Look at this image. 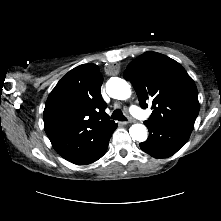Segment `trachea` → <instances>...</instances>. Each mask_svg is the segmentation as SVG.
I'll list each match as a JSON object with an SVG mask.
<instances>
[{
    "instance_id": "3493384b",
    "label": "trachea",
    "mask_w": 221,
    "mask_h": 221,
    "mask_svg": "<svg viewBox=\"0 0 221 221\" xmlns=\"http://www.w3.org/2000/svg\"><path fill=\"white\" fill-rule=\"evenodd\" d=\"M111 119L118 120V121H126L127 120L120 109H116L112 113Z\"/></svg>"
}]
</instances>
